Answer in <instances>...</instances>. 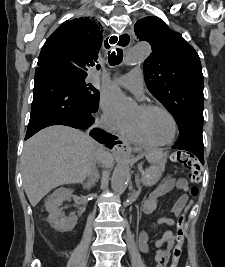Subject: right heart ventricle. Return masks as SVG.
I'll use <instances>...</instances> for the list:
<instances>
[{"mask_svg": "<svg viewBox=\"0 0 225 267\" xmlns=\"http://www.w3.org/2000/svg\"><path fill=\"white\" fill-rule=\"evenodd\" d=\"M123 136L131 143L144 147H154L140 135L133 123H130L128 130Z\"/></svg>", "mask_w": 225, "mask_h": 267, "instance_id": "e07e8e85", "label": "right heart ventricle"}]
</instances>
